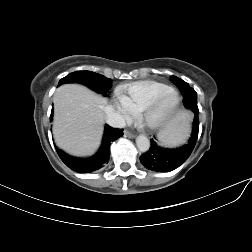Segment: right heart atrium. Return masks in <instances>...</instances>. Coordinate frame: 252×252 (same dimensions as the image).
Instances as JSON below:
<instances>
[{
	"mask_svg": "<svg viewBox=\"0 0 252 252\" xmlns=\"http://www.w3.org/2000/svg\"><path fill=\"white\" fill-rule=\"evenodd\" d=\"M113 104L116 110L117 119L120 123L128 122L134 117L135 111L131 108L128 100L121 93L116 92L113 97Z\"/></svg>",
	"mask_w": 252,
	"mask_h": 252,
	"instance_id": "obj_1",
	"label": "right heart atrium"
}]
</instances>
